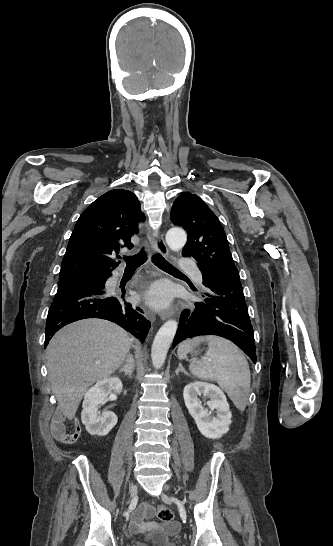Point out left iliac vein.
I'll return each instance as SVG.
<instances>
[{"label": "left iliac vein", "instance_id": "obj_1", "mask_svg": "<svg viewBox=\"0 0 333 546\" xmlns=\"http://www.w3.org/2000/svg\"><path fill=\"white\" fill-rule=\"evenodd\" d=\"M165 489H168V486H167V485L165 486Z\"/></svg>", "mask_w": 333, "mask_h": 546}]
</instances>
